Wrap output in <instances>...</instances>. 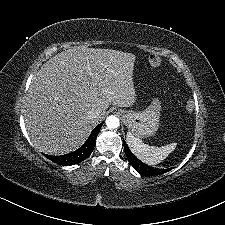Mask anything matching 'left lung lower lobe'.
I'll list each match as a JSON object with an SVG mask.
<instances>
[{"label": "left lung lower lobe", "instance_id": "obj_1", "mask_svg": "<svg viewBox=\"0 0 225 225\" xmlns=\"http://www.w3.org/2000/svg\"><path fill=\"white\" fill-rule=\"evenodd\" d=\"M124 143V150H125V154L129 160V162L131 163L132 167H134V169L141 175H146V176H155V175H160L163 173H166L168 171H170L172 168L169 169H157V168H153V167H149L146 164L142 163L139 159H137L132 152L130 151V149L128 148L127 144Z\"/></svg>", "mask_w": 225, "mask_h": 225}]
</instances>
